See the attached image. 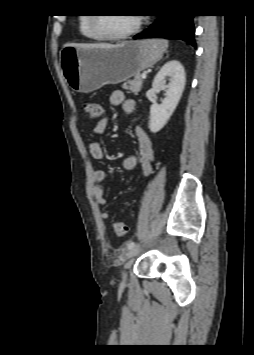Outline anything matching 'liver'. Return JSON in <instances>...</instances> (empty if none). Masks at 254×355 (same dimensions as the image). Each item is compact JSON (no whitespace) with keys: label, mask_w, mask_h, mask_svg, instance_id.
<instances>
[{"label":"liver","mask_w":254,"mask_h":355,"mask_svg":"<svg viewBox=\"0 0 254 355\" xmlns=\"http://www.w3.org/2000/svg\"><path fill=\"white\" fill-rule=\"evenodd\" d=\"M65 46H74L78 48H93V47H105V48H110V47H116L118 45H110L106 43H97V44H66Z\"/></svg>","instance_id":"6515ba94"}]
</instances>
